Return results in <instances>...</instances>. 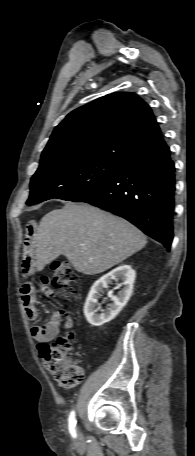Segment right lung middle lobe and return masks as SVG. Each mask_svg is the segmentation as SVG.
I'll return each mask as SVG.
<instances>
[{"label":"right lung middle lobe","instance_id":"dd1d6c3e","mask_svg":"<svg viewBox=\"0 0 195 456\" xmlns=\"http://www.w3.org/2000/svg\"><path fill=\"white\" fill-rule=\"evenodd\" d=\"M120 167L119 163L93 158H68L40 164L31 178L27 204L52 198L73 201L110 179Z\"/></svg>","mask_w":195,"mask_h":456}]
</instances>
